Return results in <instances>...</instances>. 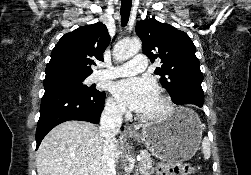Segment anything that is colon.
Returning <instances> with one entry per match:
<instances>
[{
	"mask_svg": "<svg viewBox=\"0 0 251 175\" xmlns=\"http://www.w3.org/2000/svg\"><path fill=\"white\" fill-rule=\"evenodd\" d=\"M195 167L184 161H162L157 164L158 175H192Z\"/></svg>",
	"mask_w": 251,
	"mask_h": 175,
	"instance_id": "obj_1",
	"label": "colon"
}]
</instances>
